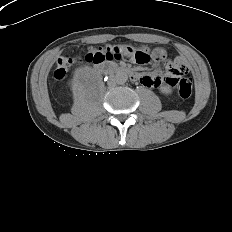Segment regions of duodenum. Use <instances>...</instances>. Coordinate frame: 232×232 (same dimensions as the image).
<instances>
[{
    "mask_svg": "<svg viewBox=\"0 0 232 232\" xmlns=\"http://www.w3.org/2000/svg\"><path fill=\"white\" fill-rule=\"evenodd\" d=\"M96 71L99 75L126 74L133 80L138 79V74L135 71H133L130 68L124 67V66H119V67H113V66H107V65L98 66V67H96Z\"/></svg>",
    "mask_w": 232,
    "mask_h": 232,
    "instance_id": "1",
    "label": "duodenum"
}]
</instances>
